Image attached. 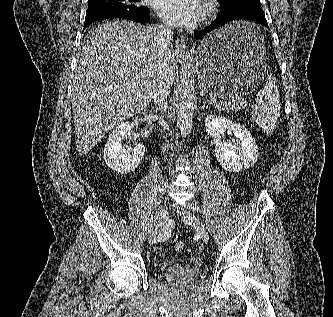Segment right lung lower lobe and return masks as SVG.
<instances>
[{"label":"right lung lower lobe","instance_id":"98d812e1","mask_svg":"<svg viewBox=\"0 0 333 317\" xmlns=\"http://www.w3.org/2000/svg\"><path fill=\"white\" fill-rule=\"evenodd\" d=\"M119 18L132 20L139 23H145L149 19V10L146 11H132V12H102L98 14H86L84 28L96 20Z\"/></svg>","mask_w":333,"mask_h":317}]
</instances>
